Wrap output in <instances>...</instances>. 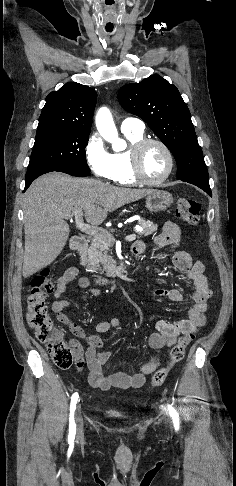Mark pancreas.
Listing matches in <instances>:
<instances>
[{
  "label": "pancreas",
  "instance_id": "obj_1",
  "mask_svg": "<svg viewBox=\"0 0 236 486\" xmlns=\"http://www.w3.org/2000/svg\"><path fill=\"white\" fill-rule=\"evenodd\" d=\"M138 224L143 228L138 232L140 236H149L158 228L157 224L145 219H140ZM113 243L114 238L110 233L104 238L93 237L87 252L81 255V265L85 266L88 272L100 274L105 272L107 276H111L115 271V262L108 251Z\"/></svg>",
  "mask_w": 236,
  "mask_h": 486
}]
</instances>
